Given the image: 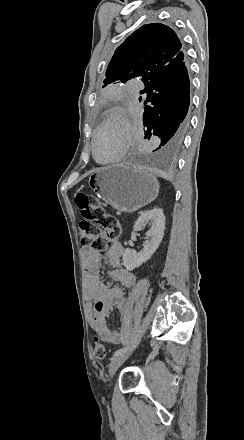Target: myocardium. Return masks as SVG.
<instances>
[{
  "mask_svg": "<svg viewBox=\"0 0 244 440\" xmlns=\"http://www.w3.org/2000/svg\"><path fill=\"white\" fill-rule=\"evenodd\" d=\"M106 117L108 118L107 122H101V126L97 127L92 135V142H91V153L93 159L96 161V163L100 165H118L120 161L123 160L125 155V144H124V136H125V130L130 125V119L131 114L128 110L125 108H119L118 110H111ZM120 115V116H119ZM121 117L122 123L117 124V119ZM116 127V130H111L113 133L117 132V155L113 158H109L105 161H101L96 156V150H95V142L98 133L104 129V127Z\"/></svg>",
  "mask_w": 244,
  "mask_h": 440,
  "instance_id": "f54148a6",
  "label": "myocardium"
}]
</instances>
